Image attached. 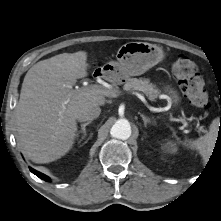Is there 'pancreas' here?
Segmentation results:
<instances>
[{
  "mask_svg": "<svg viewBox=\"0 0 221 221\" xmlns=\"http://www.w3.org/2000/svg\"><path fill=\"white\" fill-rule=\"evenodd\" d=\"M125 91H141L143 92L149 100H155L158 97V89L155 85L150 83L149 79L145 78H129L127 79L125 85L123 86ZM116 93H119L118 90H115Z\"/></svg>",
  "mask_w": 221,
  "mask_h": 221,
  "instance_id": "cf45deb5",
  "label": "pancreas"
}]
</instances>
